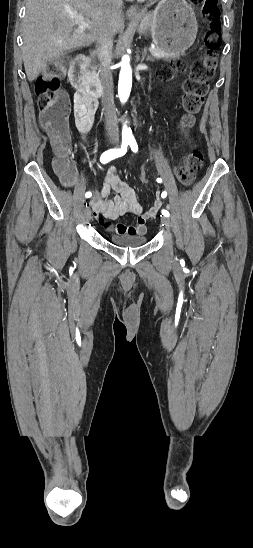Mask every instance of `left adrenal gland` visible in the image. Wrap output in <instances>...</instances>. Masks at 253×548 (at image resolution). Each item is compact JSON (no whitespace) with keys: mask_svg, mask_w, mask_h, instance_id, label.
I'll return each mask as SVG.
<instances>
[{"mask_svg":"<svg viewBox=\"0 0 253 548\" xmlns=\"http://www.w3.org/2000/svg\"><path fill=\"white\" fill-rule=\"evenodd\" d=\"M146 54H147V49H144V51H143V53H142V60L145 59ZM152 60H153V59H152L150 56H148V57L146 58V61H152Z\"/></svg>","mask_w":253,"mask_h":548,"instance_id":"obj_1","label":"left adrenal gland"}]
</instances>
